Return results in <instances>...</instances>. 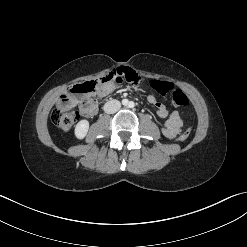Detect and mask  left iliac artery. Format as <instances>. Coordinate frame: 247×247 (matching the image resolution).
Masks as SVG:
<instances>
[{
    "instance_id": "1",
    "label": "left iliac artery",
    "mask_w": 247,
    "mask_h": 247,
    "mask_svg": "<svg viewBox=\"0 0 247 247\" xmlns=\"http://www.w3.org/2000/svg\"><path fill=\"white\" fill-rule=\"evenodd\" d=\"M129 107H130V108H133V107H134V102H130V103H129Z\"/></svg>"
}]
</instances>
